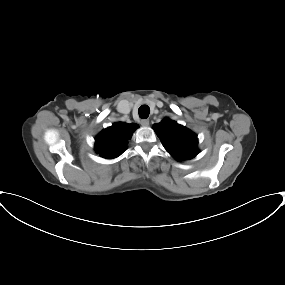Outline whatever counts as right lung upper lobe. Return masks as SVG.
<instances>
[{
	"label": "right lung upper lobe",
	"instance_id": "obj_1",
	"mask_svg": "<svg viewBox=\"0 0 285 285\" xmlns=\"http://www.w3.org/2000/svg\"><path fill=\"white\" fill-rule=\"evenodd\" d=\"M136 128V124L118 122L104 129L95 139L96 152L107 159L118 157L125 151Z\"/></svg>",
	"mask_w": 285,
	"mask_h": 285
}]
</instances>
